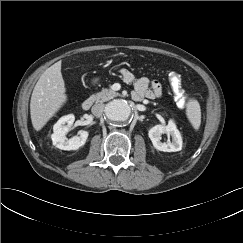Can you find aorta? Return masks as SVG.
<instances>
[{"label": "aorta", "mask_w": 243, "mask_h": 243, "mask_svg": "<svg viewBox=\"0 0 243 243\" xmlns=\"http://www.w3.org/2000/svg\"><path fill=\"white\" fill-rule=\"evenodd\" d=\"M105 114L111 121L125 122L131 115V108L124 100H114L105 107Z\"/></svg>", "instance_id": "aorta-1"}]
</instances>
